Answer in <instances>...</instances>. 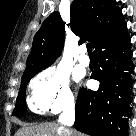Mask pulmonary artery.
Listing matches in <instances>:
<instances>
[{
	"instance_id": "1",
	"label": "pulmonary artery",
	"mask_w": 136,
	"mask_h": 136,
	"mask_svg": "<svg viewBox=\"0 0 136 136\" xmlns=\"http://www.w3.org/2000/svg\"><path fill=\"white\" fill-rule=\"evenodd\" d=\"M79 62L81 65H83L85 67L89 66V64H90V59L86 55V48L85 47L80 48Z\"/></svg>"
}]
</instances>
